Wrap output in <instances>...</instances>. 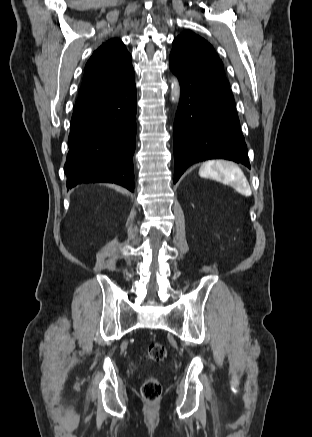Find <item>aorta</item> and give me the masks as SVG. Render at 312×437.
I'll return each mask as SVG.
<instances>
[{
    "label": "aorta",
    "instance_id": "1",
    "mask_svg": "<svg viewBox=\"0 0 312 437\" xmlns=\"http://www.w3.org/2000/svg\"><path fill=\"white\" fill-rule=\"evenodd\" d=\"M174 85H176V83H175V84H174V83L172 84V89L174 88Z\"/></svg>",
    "mask_w": 312,
    "mask_h": 437
}]
</instances>
